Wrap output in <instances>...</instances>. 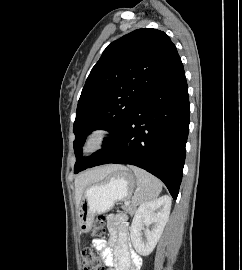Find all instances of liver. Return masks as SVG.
<instances>
[{"mask_svg": "<svg viewBox=\"0 0 242 270\" xmlns=\"http://www.w3.org/2000/svg\"><path fill=\"white\" fill-rule=\"evenodd\" d=\"M122 168V166L119 165H108L100 168H96L93 170L86 171L79 175L75 179V197H76V204L79 205L82 195L85 191V189L93 184L97 183L99 181H102L105 179L109 174L112 172Z\"/></svg>", "mask_w": 242, "mask_h": 270, "instance_id": "liver-1", "label": "liver"}]
</instances>
